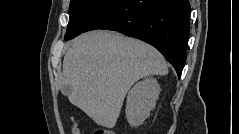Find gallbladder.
I'll list each match as a JSON object with an SVG mask.
<instances>
[{
    "label": "gallbladder",
    "mask_w": 239,
    "mask_h": 134,
    "mask_svg": "<svg viewBox=\"0 0 239 134\" xmlns=\"http://www.w3.org/2000/svg\"><path fill=\"white\" fill-rule=\"evenodd\" d=\"M72 91L71 86L67 85V84H63L62 88H61V92L62 94L68 96Z\"/></svg>",
    "instance_id": "obj_1"
}]
</instances>
